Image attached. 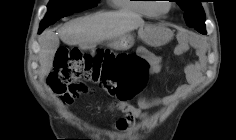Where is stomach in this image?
I'll list each match as a JSON object with an SVG mask.
<instances>
[{
	"mask_svg": "<svg viewBox=\"0 0 236 140\" xmlns=\"http://www.w3.org/2000/svg\"><path fill=\"white\" fill-rule=\"evenodd\" d=\"M139 36L149 45L161 46L166 44L173 36V32L162 24H150L139 29ZM134 43L131 33L114 38L111 45L115 48L127 49Z\"/></svg>",
	"mask_w": 236,
	"mask_h": 140,
	"instance_id": "obj_1",
	"label": "stomach"
}]
</instances>
